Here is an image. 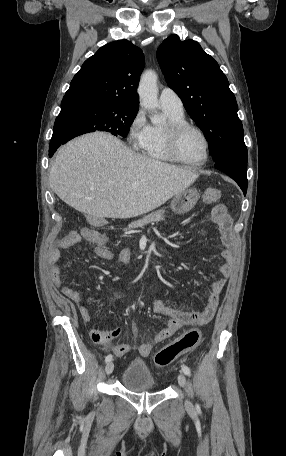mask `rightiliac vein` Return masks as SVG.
Segmentation results:
<instances>
[{
    "mask_svg": "<svg viewBox=\"0 0 286 456\" xmlns=\"http://www.w3.org/2000/svg\"><path fill=\"white\" fill-rule=\"evenodd\" d=\"M114 370V363L113 362H108L106 367H105V373L107 375H110Z\"/></svg>",
    "mask_w": 286,
    "mask_h": 456,
    "instance_id": "1",
    "label": "right iliac vein"
}]
</instances>
